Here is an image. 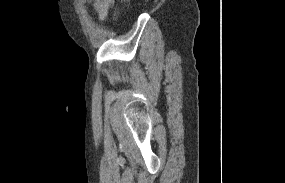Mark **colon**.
<instances>
[{"instance_id":"obj_1","label":"colon","mask_w":285,"mask_h":183,"mask_svg":"<svg viewBox=\"0 0 285 183\" xmlns=\"http://www.w3.org/2000/svg\"><path fill=\"white\" fill-rule=\"evenodd\" d=\"M123 2H126V1H128V0H122Z\"/></svg>"}]
</instances>
